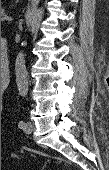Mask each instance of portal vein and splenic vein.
Here are the masks:
<instances>
[{"label":"portal vein and splenic vein","mask_w":109,"mask_h":170,"mask_svg":"<svg viewBox=\"0 0 109 170\" xmlns=\"http://www.w3.org/2000/svg\"><path fill=\"white\" fill-rule=\"evenodd\" d=\"M2 21H12V18L5 15L3 18H2Z\"/></svg>","instance_id":"obj_1"}]
</instances>
